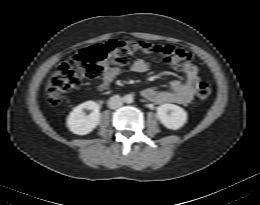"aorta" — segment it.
Masks as SVG:
<instances>
[{
  "label": "aorta",
  "instance_id": "1",
  "mask_svg": "<svg viewBox=\"0 0 260 205\" xmlns=\"http://www.w3.org/2000/svg\"><path fill=\"white\" fill-rule=\"evenodd\" d=\"M124 102L130 104L133 102V96L131 94H127L125 97H124Z\"/></svg>",
  "mask_w": 260,
  "mask_h": 205
}]
</instances>
